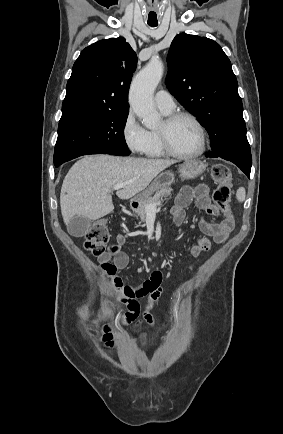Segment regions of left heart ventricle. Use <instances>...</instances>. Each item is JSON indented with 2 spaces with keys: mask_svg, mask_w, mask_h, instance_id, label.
I'll return each mask as SVG.
<instances>
[{
  "mask_svg": "<svg viewBox=\"0 0 283 434\" xmlns=\"http://www.w3.org/2000/svg\"><path fill=\"white\" fill-rule=\"evenodd\" d=\"M162 127L163 123L160 128ZM169 139L172 147L179 153H192L199 147L198 130L194 123L186 118L177 120L169 128Z\"/></svg>",
  "mask_w": 283,
  "mask_h": 434,
  "instance_id": "obj_1",
  "label": "left heart ventricle"
}]
</instances>
